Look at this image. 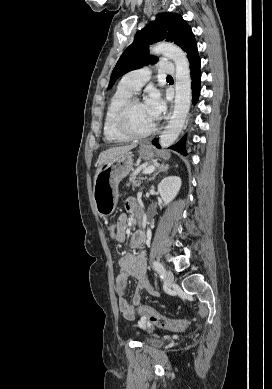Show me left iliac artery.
Listing matches in <instances>:
<instances>
[{"mask_svg": "<svg viewBox=\"0 0 272 389\" xmlns=\"http://www.w3.org/2000/svg\"><path fill=\"white\" fill-rule=\"evenodd\" d=\"M153 266H154L155 270L159 273L161 279H163L165 276V269H164L163 265L158 261H153Z\"/></svg>", "mask_w": 272, "mask_h": 389, "instance_id": "obj_1", "label": "left iliac artery"}]
</instances>
